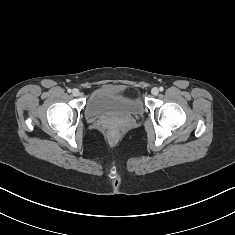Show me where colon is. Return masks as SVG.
I'll return each mask as SVG.
<instances>
[{"label": "colon", "mask_w": 235, "mask_h": 235, "mask_svg": "<svg viewBox=\"0 0 235 235\" xmlns=\"http://www.w3.org/2000/svg\"><path fill=\"white\" fill-rule=\"evenodd\" d=\"M109 130H110L111 132H113V131H114V130H113V128H110V127H109Z\"/></svg>", "instance_id": "5ec220e1"}]
</instances>
